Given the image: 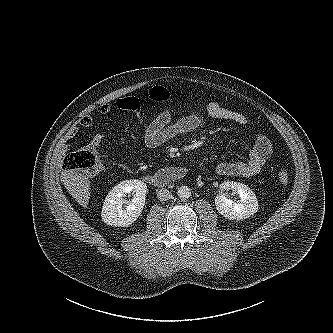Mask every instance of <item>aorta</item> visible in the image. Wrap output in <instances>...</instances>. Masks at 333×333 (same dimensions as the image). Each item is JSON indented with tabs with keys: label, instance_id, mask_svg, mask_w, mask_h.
Wrapping results in <instances>:
<instances>
[{
	"label": "aorta",
	"instance_id": "762f6f07",
	"mask_svg": "<svg viewBox=\"0 0 333 333\" xmlns=\"http://www.w3.org/2000/svg\"><path fill=\"white\" fill-rule=\"evenodd\" d=\"M177 193L181 199H188L191 196V190L187 186H181L178 188Z\"/></svg>",
	"mask_w": 333,
	"mask_h": 333
}]
</instances>
